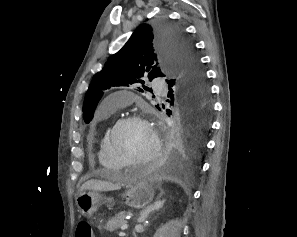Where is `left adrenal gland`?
I'll use <instances>...</instances> for the list:
<instances>
[{
    "label": "left adrenal gland",
    "mask_w": 297,
    "mask_h": 237,
    "mask_svg": "<svg viewBox=\"0 0 297 237\" xmlns=\"http://www.w3.org/2000/svg\"><path fill=\"white\" fill-rule=\"evenodd\" d=\"M164 194V192L160 193V197ZM165 199L162 201H156L153 205L148 206L146 209H144L141 213H140V217L138 218V222L142 223L146 220V218L149 216V214H151L152 212L158 211L159 209H161L165 203Z\"/></svg>",
    "instance_id": "obj_1"
}]
</instances>
